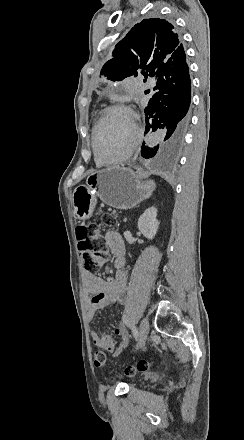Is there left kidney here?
Instances as JSON below:
<instances>
[{"instance_id": "5707ae66", "label": "left kidney", "mask_w": 244, "mask_h": 440, "mask_svg": "<svg viewBox=\"0 0 244 440\" xmlns=\"http://www.w3.org/2000/svg\"><path fill=\"white\" fill-rule=\"evenodd\" d=\"M156 216L157 208L152 206V208H147L138 220L137 228L145 238H148V240H152L155 234H157L159 222L156 220Z\"/></svg>"}]
</instances>
